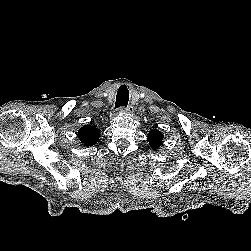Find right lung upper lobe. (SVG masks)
<instances>
[{"label":"right lung upper lobe","mask_w":251,"mask_h":251,"mask_svg":"<svg viewBox=\"0 0 251 251\" xmlns=\"http://www.w3.org/2000/svg\"><path fill=\"white\" fill-rule=\"evenodd\" d=\"M100 131L95 126H83L78 131V138L84 146H92L97 143Z\"/></svg>","instance_id":"1"}]
</instances>
